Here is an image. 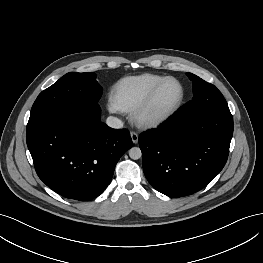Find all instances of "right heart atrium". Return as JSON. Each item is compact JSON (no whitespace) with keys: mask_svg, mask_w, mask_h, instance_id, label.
Instances as JSON below:
<instances>
[{"mask_svg":"<svg viewBox=\"0 0 263 263\" xmlns=\"http://www.w3.org/2000/svg\"><path fill=\"white\" fill-rule=\"evenodd\" d=\"M108 109L111 112H118V108L114 105V103L112 101L109 102L108 104Z\"/></svg>","mask_w":263,"mask_h":263,"instance_id":"obj_1","label":"right heart atrium"}]
</instances>
